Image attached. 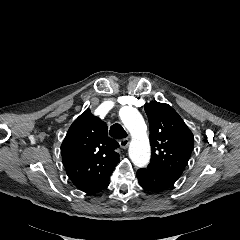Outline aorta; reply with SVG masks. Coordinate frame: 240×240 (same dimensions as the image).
<instances>
[{
  "mask_svg": "<svg viewBox=\"0 0 240 240\" xmlns=\"http://www.w3.org/2000/svg\"><path fill=\"white\" fill-rule=\"evenodd\" d=\"M120 119L132 136L129 146V157L137 167H144L150 160V144L146 124L139 111L130 106L121 108Z\"/></svg>",
  "mask_w": 240,
  "mask_h": 240,
  "instance_id": "obj_1",
  "label": "aorta"
}]
</instances>
